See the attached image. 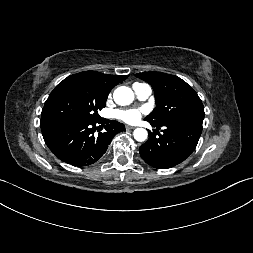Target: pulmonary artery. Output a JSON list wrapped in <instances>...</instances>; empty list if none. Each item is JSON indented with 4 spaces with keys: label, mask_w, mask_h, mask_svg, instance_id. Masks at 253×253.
Instances as JSON below:
<instances>
[{
    "label": "pulmonary artery",
    "mask_w": 253,
    "mask_h": 253,
    "mask_svg": "<svg viewBox=\"0 0 253 253\" xmlns=\"http://www.w3.org/2000/svg\"><path fill=\"white\" fill-rule=\"evenodd\" d=\"M133 89L139 100H146L151 95V88L147 84H134Z\"/></svg>",
    "instance_id": "pulmonary-artery-1"
}]
</instances>
